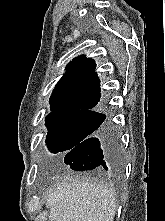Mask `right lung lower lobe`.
I'll use <instances>...</instances> for the list:
<instances>
[{
	"label": "right lung lower lobe",
	"instance_id": "1",
	"mask_svg": "<svg viewBox=\"0 0 165 221\" xmlns=\"http://www.w3.org/2000/svg\"><path fill=\"white\" fill-rule=\"evenodd\" d=\"M64 162L77 171L99 168L117 170L120 167V152L117 136L109 121L100 127L97 136L87 137L71 149Z\"/></svg>",
	"mask_w": 165,
	"mask_h": 221
}]
</instances>
